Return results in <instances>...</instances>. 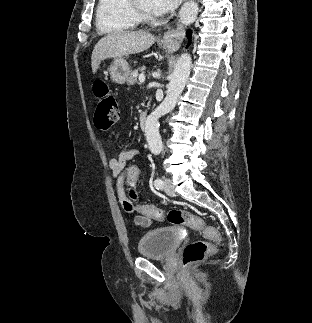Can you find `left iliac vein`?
<instances>
[{
    "instance_id": "obj_1",
    "label": "left iliac vein",
    "mask_w": 312,
    "mask_h": 323,
    "mask_svg": "<svg viewBox=\"0 0 312 323\" xmlns=\"http://www.w3.org/2000/svg\"><path fill=\"white\" fill-rule=\"evenodd\" d=\"M164 190L168 195H174L175 191H174V187L171 184V180L169 178H165L164 179Z\"/></svg>"
}]
</instances>
